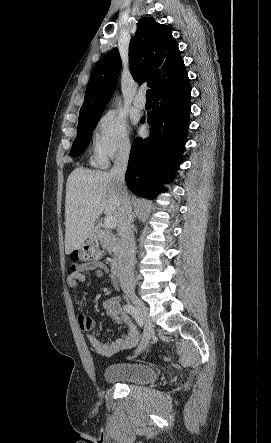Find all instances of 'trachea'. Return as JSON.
Returning a JSON list of instances; mask_svg holds the SVG:
<instances>
[{"mask_svg":"<svg viewBox=\"0 0 271 443\" xmlns=\"http://www.w3.org/2000/svg\"><path fill=\"white\" fill-rule=\"evenodd\" d=\"M146 98H147V100H151L152 99V97H151V90H147Z\"/></svg>","mask_w":271,"mask_h":443,"instance_id":"trachea-1","label":"trachea"}]
</instances>
